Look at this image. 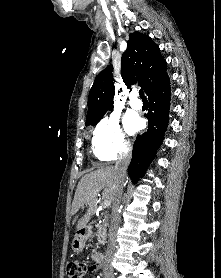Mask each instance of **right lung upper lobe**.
I'll use <instances>...</instances> for the list:
<instances>
[{
  "mask_svg": "<svg viewBox=\"0 0 221 278\" xmlns=\"http://www.w3.org/2000/svg\"><path fill=\"white\" fill-rule=\"evenodd\" d=\"M167 63L160 54L159 47L149 36L134 32L129 35L127 49L121 58V76L129 87L138 82L147 90L166 73ZM113 66L109 65L96 77L89 92L86 124L97 123L113 108L114 83Z\"/></svg>",
  "mask_w": 221,
  "mask_h": 278,
  "instance_id": "right-lung-upper-lobe-1",
  "label": "right lung upper lobe"
}]
</instances>
